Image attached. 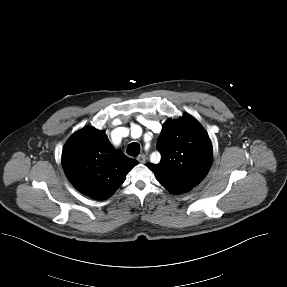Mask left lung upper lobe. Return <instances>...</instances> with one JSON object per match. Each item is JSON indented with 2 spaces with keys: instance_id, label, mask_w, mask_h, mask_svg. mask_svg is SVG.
I'll use <instances>...</instances> for the list:
<instances>
[{
  "instance_id": "1",
  "label": "left lung upper lobe",
  "mask_w": 287,
  "mask_h": 287,
  "mask_svg": "<svg viewBox=\"0 0 287 287\" xmlns=\"http://www.w3.org/2000/svg\"><path fill=\"white\" fill-rule=\"evenodd\" d=\"M157 149L159 164L148 163L159 183L173 194L191 190L206 176L212 163L208 134L191 115L169 119L162 128Z\"/></svg>"
}]
</instances>
